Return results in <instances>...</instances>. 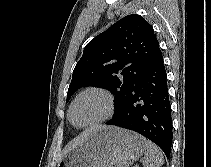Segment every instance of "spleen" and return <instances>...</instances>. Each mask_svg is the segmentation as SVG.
I'll return each mask as SVG.
<instances>
[{
    "label": "spleen",
    "instance_id": "obj_1",
    "mask_svg": "<svg viewBox=\"0 0 211 167\" xmlns=\"http://www.w3.org/2000/svg\"><path fill=\"white\" fill-rule=\"evenodd\" d=\"M144 167H161L164 163L163 154L151 141H145V156L142 160Z\"/></svg>",
    "mask_w": 211,
    "mask_h": 167
}]
</instances>
